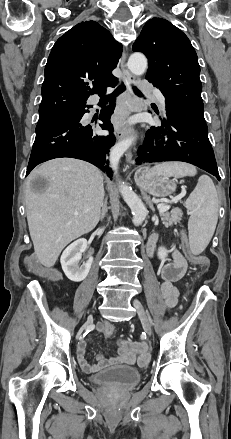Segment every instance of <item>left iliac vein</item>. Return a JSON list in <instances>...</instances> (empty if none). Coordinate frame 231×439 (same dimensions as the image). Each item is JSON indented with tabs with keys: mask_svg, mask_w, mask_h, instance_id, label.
Here are the masks:
<instances>
[{
	"mask_svg": "<svg viewBox=\"0 0 231 439\" xmlns=\"http://www.w3.org/2000/svg\"><path fill=\"white\" fill-rule=\"evenodd\" d=\"M133 305L137 310L138 316L141 320L145 332L147 333L148 336H152L153 334L152 328L141 302L138 299H134Z\"/></svg>",
	"mask_w": 231,
	"mask_h": 439,
	"instance_id": "obj_1",
	"label": "left iliac vein"
}]
</instances>
